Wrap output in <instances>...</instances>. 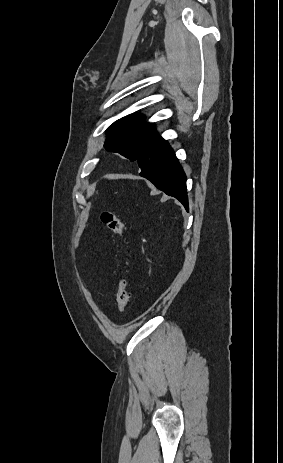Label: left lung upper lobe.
<instances>
[{"instance_id":"5c2ea615","label":"left lung upper lobe","mask_w":283,"mask_h":463,"mask_svg":"<svg viewBox=\"0 0 283 463\" xmlns=\"http://www.w3.org/2000/svg\"><path fill=\"white\" fill-rule=\"evenodd\" d=\"M157 135L154 125L146 123L144 116L128 115L107 129L104 147L136 161Z\"/></svg>"}]
</instances>
